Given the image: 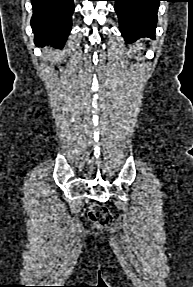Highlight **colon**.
<instances>
[{
    "mask_svg": "<svg viewBox=\"0 0 193 287\" xmlns=\"http://www.w3.org/2000/svg\"><path fill=\"white\" fill-rule=\"evenodd\" d=\"M88 217L92 223L102 228L110 226L113 221V215L110 210L98 204H93L90 206Z\"/></svg>",
    "mask_w": 193,
    "mask_h": 287,
    "instance_id": "1",
    "label": "colon"
}]
</instances>
